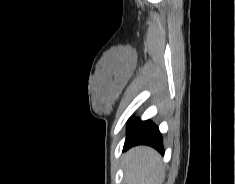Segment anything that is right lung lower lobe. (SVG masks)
Wrapping results in <instances>:
<instances>
[{"instance_id": "1", "label": "right lung lower lobe", "mask_w": 235, "mask_h": 184, "mask_svg": "<svg viewBox=\"0 0 235 184\" xmlns=\"http://www.w3.org/2000/svg\"><path fill=\"white\" fill-rule=\"evenodd\" d=\"M136 145H149L164 154L162 135L158 127L149 120L132 119L130 121L123 151Z\"/></svg>"}]
</instances>
